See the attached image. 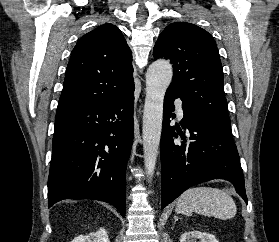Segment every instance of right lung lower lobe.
Masks as SVG:
<instances>
[{"instance_id":"obj_1","label":"right lung lower lobe","mask_w":279,"mask_h":242,"mask_svg":"<svg viewBox=\"0 0 279 242\" xmlns=\"http://www.w3.org/2000/svg\"><path fill=\"white\" fill-rule=\"evenodd\" d=\"M134 90L103 104L56 113L48 207L95 199L125 215L126 165L133 141Z\"/></svg>"}]
</instances>
